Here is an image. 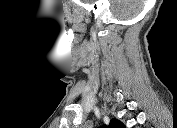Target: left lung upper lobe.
<instances>
[{
  "mask_svg": "<svg viewBox=\"0 0 177 128\" xmlns=\"http://www.w3.org/2000/svg\"><path fill=\"white\" fill-rule=\"evenodd\" d=\"M104 128H107V126H104ZM108 128H125V125L119 120L112 119Z\"/></svg>",
  "mask_w": 177,
  "mask_h": 128,
  "instance_id": "1",
  "label": "left lung upper lobe"
}]
</instances>
